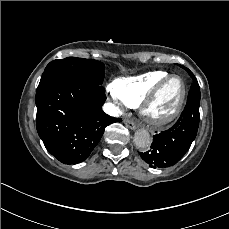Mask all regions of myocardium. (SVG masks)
Segmentation results:
<instances>
[{
    "mask_svg": "<svg viewBox=\"0 0 229 229\" xmlns=\"http://www.w3.org/2000/svg\"><path fill=\"white\" fill-rule=\"evenodd\" d=\"M175 79H180L184 85V96H183L181 103L179 104L177 109L172 114H170L168 117H164V118L154 117L150 113V110H149L150 104L159 95V92L163 90L164 87L171 84L172 81H174ZM188 96H189L188 87L183 77L179 75H172L170 77H165L163 80H161L155 86L152 87V89L147 94V96L143 97V103L145 104L143 108V115L147 123L154 128H163V127L170 125L171 123H173L175 120H177L180 117L187 103Z\"/></svg>",
    "mask_w": 229,
    "mask_h": 229,
    "instance_id": "1",
    "label": "myocardium"
}]
</instances>
